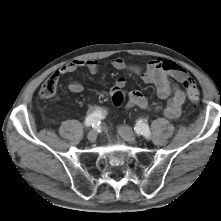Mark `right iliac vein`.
Wrapping results in <instances>:
<instances>
[{"label":"right iliac vein","instance_id":"right-iliac-vein-1","mask_svg":"<svg viewBox=\"0 0 221 221\" xmlns=\"http://www.w3.org/2000/svg\"><path fill=\"white\" fill-rule=\"evenodd\" d=\"M87 138L89 140V142L93 143L96 141L97 138V131L96 130H91L88 135Z\"/></svg>","mask_w":221,"mask_h":221}]
</instances>
